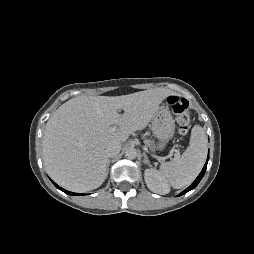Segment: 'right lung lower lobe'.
<instances>
[{"label": "right lung lower lobe", "instance_id": "98d812e1", "mask_svg": "<svg viewBox=\"0 0 254 254\" xmlns=\"http://www.w3.org/2000/svg\"><path fill=\"white\" fill-rule=\"evenodd\" d=\"M51 182L58 188V189H60L61 191H63L64 193H66V194H69V195H84V194H78V193H73V192H70V191H67V190H65V189H63V188H61V187H59L56 183H54L52 180H51Z\"/></svg>", "mask_w": 254, "mask_h": 254}]
</instances>
